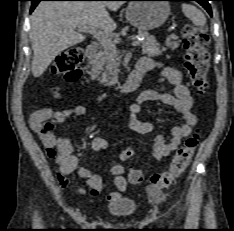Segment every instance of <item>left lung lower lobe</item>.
<instances>
[{"label":"left lung lower lobe","instance_id":"0a47b994","mask_svg":"<svg viewBox=\"0 0 234 231\" xmlns=\"http://www.w3.org/2000/svg\"><path fill=\"white\" fill-rule=\"evenodd\" d=\"M126 1H131V0H126ZM170 1H196L207 10V12L210 14V16H212L210 4L208 3V1H210V0H170Z\"/></svg>","mask_w":234,"mask_h":231}]
</instances>
